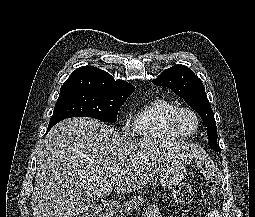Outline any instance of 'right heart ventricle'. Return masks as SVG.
<instances>
[{
	"label": "right heart ventricle",
	"mask_w": 255,
	"mask_h": 217,
	"mask_svg": "<svg viewBox=\"0 0 255 217\" xmlns=\"http://www.w3.org/2000/svg\"><path fill=\"white\" fill-rule=\"evenodd\" d=\"M177 106L163 97H154L135 113L133 130L141 138L176 140L183 138L171 126L169 116Z\"/></svg>",
	"instance_id": "right-heart-ventricle-1"
}]
</instances>
